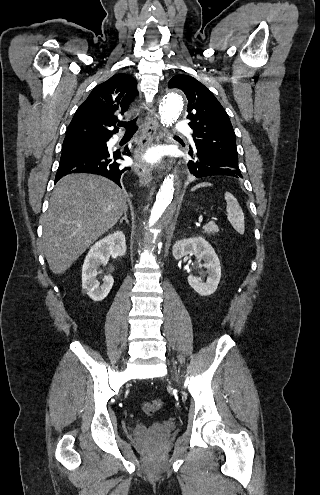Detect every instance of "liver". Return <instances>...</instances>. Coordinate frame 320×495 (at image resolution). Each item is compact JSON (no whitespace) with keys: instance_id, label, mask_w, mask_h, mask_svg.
<instances>
[{"instance_id":"6515ba94","label":"liver","mask_w":320,"mask_h":495,"mask_svg":"<svg viewBox=\"0 0 320 495\" xmlns=\"http://www.w3.org/2000/svg\"><path fill=\"white\" fill-rule=\"evenodd\" d=\"M127 209L125 192L106 178L62 177L43 219L42 245L52 272L64 273Z\"/></svg>"}]
</instances>
